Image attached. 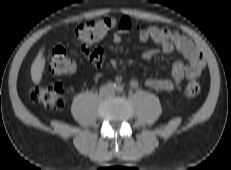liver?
I'll use <instances>...</instances> for the list:
<instances>
[{
    "mask_svg": "<svg viewBox=\"0 0 231 170\" xmlns=\"http://www.w3.org/2000/svg\"><path fill=\"white\" fill-rule=\"evenodd\" d=\"M44 50V47L40 49L31 66V78L35 84H39L43 76L45 68Z\"/></svg>",
    "mask_w": 231,
    "mask_h": 170,
    "instance_id": "1",
    "label": "liver"
}]
</instances>
